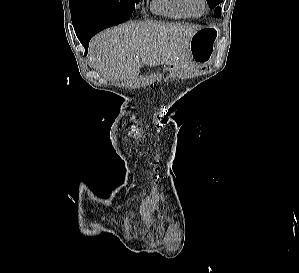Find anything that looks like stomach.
<instances>
[{"label":"stomach","instance_id":"0dacf381","mask_svg":"<svg viewBox=\"0 0 299 273\" xmlns=\"http://www.w3.org/2000/svg\"><path fill=\"white\" fill-rule=\"evenodd\" d=\"M219 32L214 26H206L198 29L190 40V54L195 64H208L215 53V44Z\"/></svg>","mask_w":299,"mask_h":273}]
</instances>
